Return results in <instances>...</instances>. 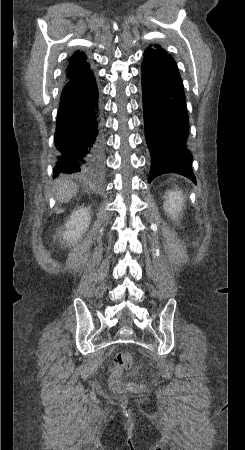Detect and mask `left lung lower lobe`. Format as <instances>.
I'll use <instances>...</instances> for the list:
<instances>
[{
	"mask_svg": "<svg viewBox=\"0 0 245 450\" xmlns=\"http://www.w3.org/2000/svg\"><path fill=\"white\" fill-rule=\"evenodd\" d=\"M145 136L151 154L149 182L177 173L196 183L188 149L189 116L183 82L168 58L142 63Z\"/></svg>",
	"mask_w": 245,
	"mask_h": 450,
	"instance_id": "0a47b994",
	"label": "left lung lower lobe"
}]
</instances>
